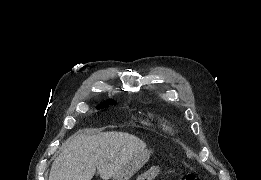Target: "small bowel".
<instances>
[{"mask_svg": "<svg viewBox=\"0 0 261 180\" xmlns=\"http://www.w3.org/2000/svg\"><path fill=\"white\" fill-rule=\"evenodd\" d=\"M162 172V168L159 165H154L150 167L145 172L141 173L138 176L139 180H154L157 178Z\"/></svg>", "mask_w": 261, "mask_h": 180, "instance_id": "small-bowel-1", "label": "small bowel"}]
</instances>
